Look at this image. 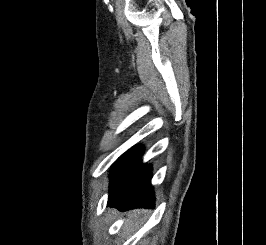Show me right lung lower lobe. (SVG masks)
<instances>
[{
	"label": "right lung lower lobe",
	"instance_id": "98d812e1",
	"mask_svg": "<svg viewBox=\"0 0 266 245\" xmlns=\"http://www.w3.org/2000/svg\"><path fill=\"white\" fill-rule=\"evenodd\" d=\"M142 154V147L135 145L112 166L109 206L118 207L121 211L154 206L151 167L140 163Z\"/></svg>",
	"mask_w": 266,
	"mask_h": 245
}]
</instances>
